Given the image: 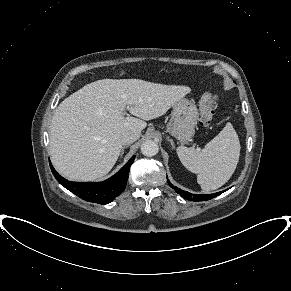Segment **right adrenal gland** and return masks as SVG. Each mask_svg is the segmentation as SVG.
Listing matches in <instances>:
<instances>
[{
    "mask_svg": "<svg viewBox=\"0 0 291 291\" xmlns=\"http://www.w3.org/2000/svg\"><path fill=\"white\" fill-rule=\"evenodd\" d=\"M127 147H128V145L122 147L120 157L123 156V154H124V150H125Z\"/></svg>",
    "mask_w": 291,
    "mask_h": 291,
    "instance_id": "1",
    "label": "right adrenal gland"
}]
</instances>
